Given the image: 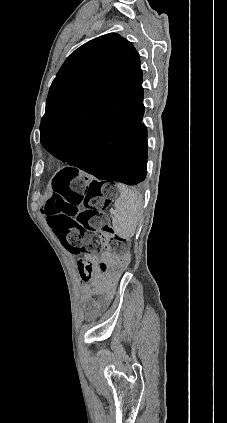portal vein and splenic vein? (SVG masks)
<instances>
[{"label":"portal vein and splenic vein","mask_w":227,"mask_h":423,"mask_svg":"<svg viewBox=\"0 0 227 423\" xmlns=\"http://www.w3.org/2000/svg\"><path fill=\"white\" fill-rule=\"evenodd\" d=\"M116 212V209L115 208H112L111 210H110V213L111 214H114Z\"/></svg>","instance_id":"obj_1"}]
</instances>
